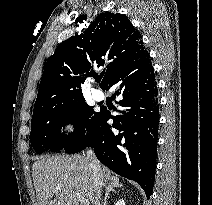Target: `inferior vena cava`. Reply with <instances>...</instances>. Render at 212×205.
<instances>
[{"label":"inferior vena cava","mask_w":212,"mask_h":205,"mask_svg":"<svg viewBox=\"0 0 212 205\" xmlns=\"http://www.w3.org/2000/svg\"><path fill=\"white\" fill-rule=\"evenodd\" d=\"M86 158L88 159L90 168L92 169V179L97 189V196L101 198V188L103 185L101 166L92 149H87ZM98 205H100V201L98 202Z\"/></svg>","instance_id":"1"}]
</instances>
